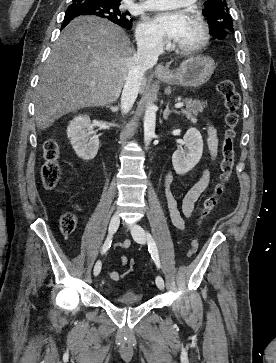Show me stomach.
<instances>
[{
  "label": "stomach",
  "mask_w": 276,
  "mask_h": 363,
  "mask_svg": "<svg viewBox=\"0 0 276 363\" xmlns=\"http://www.w3.org/2000/svg\"><path fill=\"white\" fill-rule=\"evenodd\" d=\"M215 70V62L208 56H194L183 60L178 68L157 77L171 85L198 88L205 84Z\"/></svg>",
  "instance_id": "obj_1"
}]
</instances>
